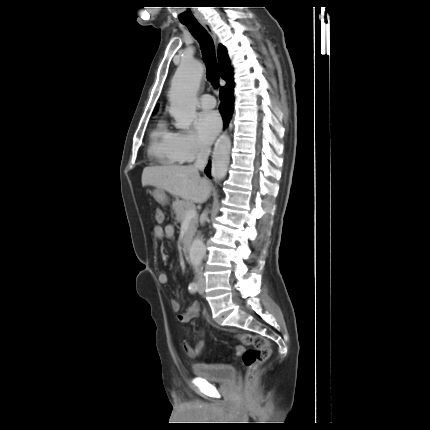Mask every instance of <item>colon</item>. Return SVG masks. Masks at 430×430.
<instances>
[{
    "label": "colon",
    "mask_w": 430,
    "mask_h": 430,
    "mask_svg": "<svg viewBox=\"0 0 430 430\" xmlns=\"http://www.w3.org/2000/svg\"><path fill=\"white\" fill-rule=\"evenodd\" d=\"M155 220L158 223H162L164 220V213L161 209L155 210ZM237 338L245 345L249 346L248 349H243L241 346H237L235 351L236 354L242 355L243 363L247 369L246 371V383L250 385L258 371V368L269 358L270 356V343L269 341L259 335H253L250 333H242L237 335Z\"/></svg>",
    "instance_id": "colon-1"
}]
</instances>
